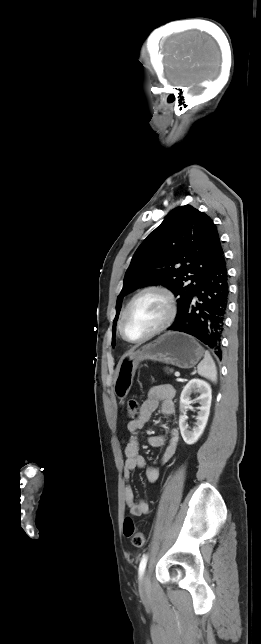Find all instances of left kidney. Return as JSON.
<instances>
[{"label":"left kidney","instance_id":"left-kidney-1","mask_svg":"<svg viewBox=\"0 0 261 644\" xmlns=\"http://www.w3.org/2000/svg\"><path fill=\"white\" fill-rule=\"evenodd\" d=\"M192 392L200 393V396L196 400L199 401L200 407H198L199 412L196 417L195 427L190 430L189 425L186 422L185 415H180L179 418V428L181 436L184 442L188 445H192L200 438L202 435L210 413L211 400H212V390L209 385L204 380L192 379L186 386L183 388L180 396V411L181 413L187 408V405L191 402L190 395Z\"/></svg>","mask_w":261,"mask_h":644}]
</instances>
